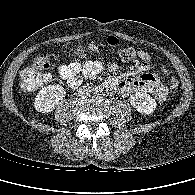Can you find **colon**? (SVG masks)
<instances>
[{
    "label": "colon",
    "mask_w": 195,
    "mask_h": 195,
    "mask_svg": "<svg viewBox=\"0 0 195 195\" xmlns=\"http://www.w3.org/2000/svg\"><path fill=\"white\" fill-rule=\"evenodd\" d=\"M103 48H109L117 52L124 62H132L139 58L140 49L131 47H122L119 40L114 36L107 37L105 43L90 42L88 44L79 43L71 48L69 55L85 57L89 53L99 52ZM58 55L41 54L37 56L30 65L25 66L20 72L21 87L25 91H32L49 80V75L42 74L39 70L47 69L51 61ZM179 90V82L173 76H170V91L176 94Z\"/></svg>",
    "instance_id": "obj_1"
}]
</instances>
